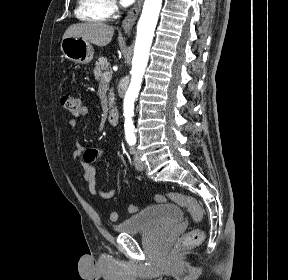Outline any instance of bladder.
I'll return each mask as SVG.
<instances>
[{"instance_id":"bladder-1","label":"bladder","mask_w":288,"mask_h":280,"mask_svg":"<svg viewBox=\"0 0 288 280\" xmlns=\"http://www.w3.org/2000/svg\"><path fill=\"white\" fill-rule=\"evenodd\" d=\"M183 211L173 204H157L148 206L130 216L114 228L122 234L160 231L168 229L182 221Z\"/></svg>"}]
</instances>
